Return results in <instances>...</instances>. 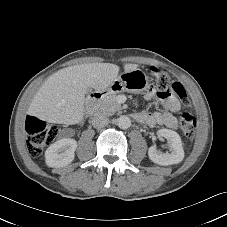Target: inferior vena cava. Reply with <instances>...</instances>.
<instances>
[{"label":"inferior vena cava","mask_w":227,"mask_h":227,"mask_svg":"<svg viewBox=\"0 0 227 227\" xmlns=\"http://www.w3.org/2000/svg\"><path fill=\"white\" fill-rule=\"evenodd\" d=\"M91 123L94 128L100 129L108 125L109 119L103 114H98L92 118Z\"/></svg>","instance_id":"inferior-vena-cava-1"}]
</instances>
